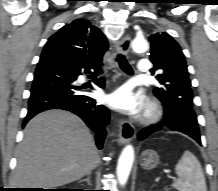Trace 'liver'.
<instances>
[{
  "label": "liver",
  "instance_id": "1",
  "mask_svg": "<svg viewBox=\"0 0 218 191\" xmlns=\"http://www.w3.org/2000/svg\"><path fill=\"white\" fill-rule=\"evenodd\" d=\"M16 158V186L49 189L90 173L98 164V151L79 117L63 110H48L26 125Z\"/></svg>",
  "mask_w": 218,
  "mask_h": 191
}]
</instances>
